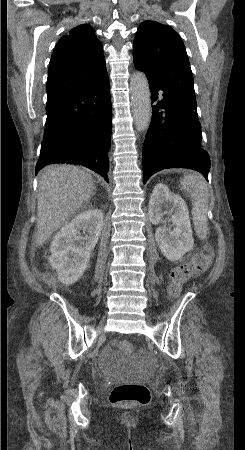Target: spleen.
<instances>
[{"instance_id":"1","label":"spleen","mask_w":245,"mask_h":450,"mask_svg":"<svg viewBox=\"0 0 245 450\" xmlns=\"http://www.w3.org/2000/svg\"><path fill=\"white\" fill-rule=\"evenodd\" d=\"M182 189L192 198L194 228L199 238L204 239L208 232L207 206L208 191L204 179L197 174L186 175L181 181Z\"/></svg>"}]
</instances>
